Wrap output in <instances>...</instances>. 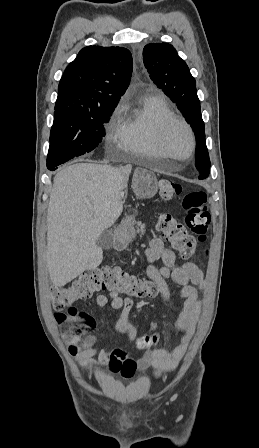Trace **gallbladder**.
Listing matches in <instances>:
<instances>
[{
  "label": "gallbladder",
  "mask_w": 259,
  "mask_h": 448,
  "mask_svg": "<svg viewBox=\"0 0 259 448\" xmlns=\"http://www.w3.org/2000/svg\"><path fill=\"white\" fill-rule=\"evenodd\" d=\"M98 248L102 250H110L114 244V236L112 230H104L103 234L97 240Z\"/></svg>",
  "instance_id": "obj_1"
}]
</instances>
